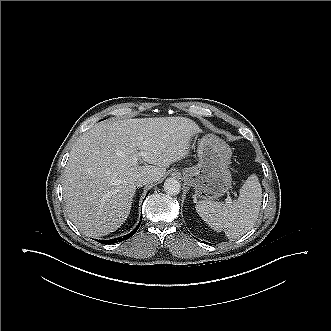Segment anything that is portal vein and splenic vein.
<instances>
[{
  "label": "portal vein and splenic vein",
  "instance_id": "obj_1",
  "mask_svg": "<svg viewBox=\"0 0 331 331\" xmlns=\"http://www.w3.org/2000/svg\"><path fill=\"white\" fill-rule=\"evenodd\" d=\"M143 155V152H140V153H138V156H142ZM138 156H134L133 158H132V161H133V164L135 165V164H137V160H138ZM230 200V199H229Z\"/></svg>",
  "mask_w": 331,
  "mask_h": 331
}]
</instances>
